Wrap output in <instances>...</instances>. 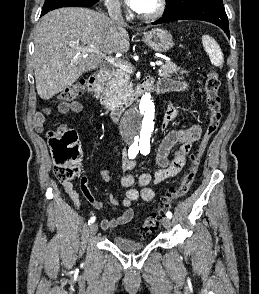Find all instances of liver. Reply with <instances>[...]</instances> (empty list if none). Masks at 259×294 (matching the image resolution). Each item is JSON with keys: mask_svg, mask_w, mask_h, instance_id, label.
<instances>
[{"mask_svg": "<svg viewBox=\"0 0 259 294\" xmlns=\"http://www.w3.org/2000/svg\"><path fill=\"white\" fill-rule=\"evenodd\" d=\"M33 55L37 93L43 100L73 85L85 72L103 62V56L82 52L93 46L104 55L126 53L129 35L103 13L87 8L66 7L46 14L34 31Z\"/></svg>", "mask_w": 259, "mask_h": 294, "instance_id": "obj_1", "label": "liver"}]
</instances>
